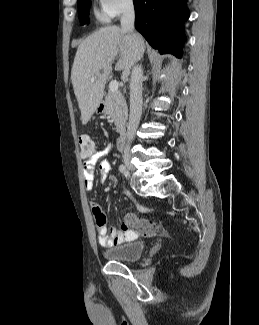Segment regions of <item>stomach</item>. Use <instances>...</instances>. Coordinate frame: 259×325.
<instances>
[{"label": "stomach", "instance_id": "1", "mask_svg": "<svg viewBox=\"0 0 259 325\" xmlns=\"http://www.w3.org/2000/svg\"><path fill=\"white\" fill-rule=\"evenodd\" d=\"M95 112L97 114H105L106 113V104L101 101V103L97 106Z\"/></svg>", "mask_w": 259, "mask_h": 325}]
</instances>
